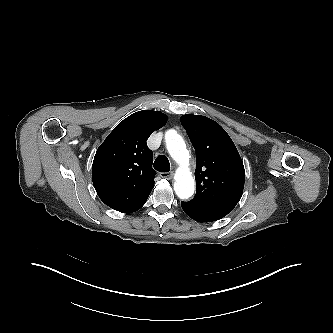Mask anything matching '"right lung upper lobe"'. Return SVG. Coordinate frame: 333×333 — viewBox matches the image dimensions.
Masks as SVG:
<instances>
[{"label":"right lung upper lobe","mask_w":333,"mask_h":333,"mask_svg":"<svg viewBox=\"0 0 333 333\" xmlns=\"http://www.w3.org/2000/svg\"><path fill=\"white\" fill-rule=\"evenodd\" d=\"M166 122L162 112L143 110L124 119L107 136L92 166L93 184L103 203L122 213L144 205L156 175L146 141Z\"/></svg>","instance_id":"cb5924a9"}]
</instances>
